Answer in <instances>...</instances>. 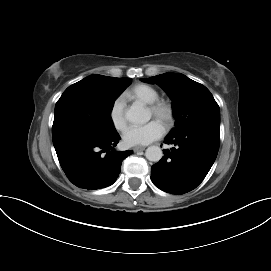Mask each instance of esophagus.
<instances>
[{
	"mask_svg": "<svg viewBox=\"0 0 271 271\" xmlns=\"http://www.w3.org/2000/svg\"><path fill=\"white\" fill-rule=\"evenodd\" d=\"M134 152H140V151H143L145 150V147L144 146H136L133 148Z\"/></svg>",
	"mask_w": 271,
	"mask_h": 271,
	"instance_id": "1",
	"label": "esophagus"
}]
</instances>
